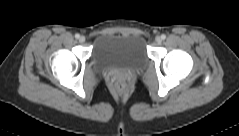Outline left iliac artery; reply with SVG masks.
I'll use <instances>...</instances> for the list:
<instances>
[{
  "label": "left iliac artery",
  "mask_w": 239,
  "mask_h": 136,
  "mask_svg": "<svg viewBox=\"0 0 239 136\" xmlns=\"http://www.w3.org/2000/svg\"><path fill=\"white\" fill-rule=\"evenodd\" d=\"M165 38H166V35H165V34H162V35H161V39L164 40Z\"/></svg>",
  "instance_id": "left-iliac-artery-1"
}]
</instances>
